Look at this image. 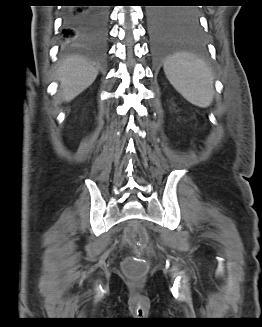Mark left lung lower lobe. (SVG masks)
Returning <instances> with one entry per match:
<instances>
[{"mask_svg": "<svg viewBox=\"0 0 262 327\" xmlns=\"http://www.w3.org/2000/svg\"><path fill=\"white\" fill-rule=\"evenodd\" d=\"M189 10L166 7L149 9L148 26L154 54H203L206 51V40L200 22L198 18L188 14Z\"/></svg>", "mask_w": 262, "mask_h": 327, "instance_id": "obj_1", "label": "left lung lower lobe"}]
</instances>
